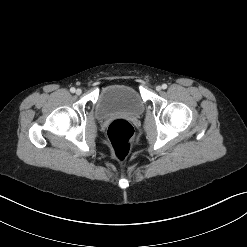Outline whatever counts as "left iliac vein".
<instances>
[{
    "label": "left iliac vein",
    "instance_id": "4c4485c4",
    "mask_svg": "<svg viewBox=\"0 0 247 247\" xmlns=\"http://www.w3.org/2000/svg\"><path fill=\"white\" fill-rule=\"evenodd\" d=\"M161 89H162L161 86H157V87H156V90H157V91H161Z\"/></svg>",
    "mask_w": 247,
    "mask_h": 247
}]
</instances>
